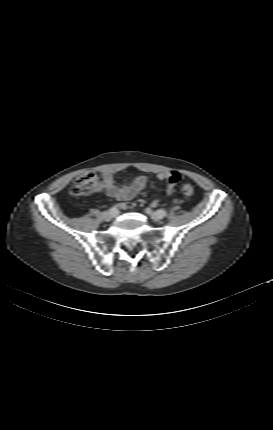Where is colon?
<instances>
[{
  "label": "colon",
  "mask_w": 273,
  "mask_h": 430,
  "mask_svg": "<svg viewBox=\"0 0 273 430\" xmlns=\"http://www.w3.org/2000/svg\"><path fill=\"white\" fill-rule=\"evenodd\" d=\"M99 174L96 172H84L79 175L73 186L72 194L75 196H85L94 193L98 189ZM194 193V187L191 184L183 186V194L186 197H191Z\"/></svg>",
  "instance_id": "obj_1"
}]
</instances>
